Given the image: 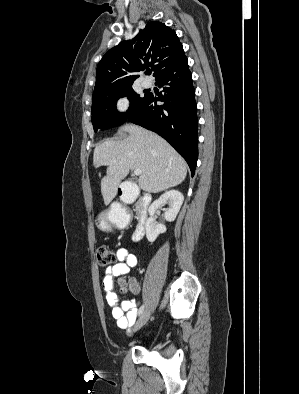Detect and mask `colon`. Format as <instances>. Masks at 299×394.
Returning a JSON list of instances; mask_svg holds the SVG:
<instances>
[{
	"mask_svg": "<svg viewBox=\"0 0 299 394\" xmlns=\"http://www.w3.org/2000/svg\"><path fill=\"white\" fill-rule=\"evenodd\" d=\"M98 264L102 267L112 265L116 261V255L109 246H99L96 250ZM122 288H128L129 283L125 281L120 282Z\"/></svg>",
	"mask_w": 299,
	"mask_h": 394,
	"instance_id": "5ec220e1",
	"label": "colon"
}]
</instances>
